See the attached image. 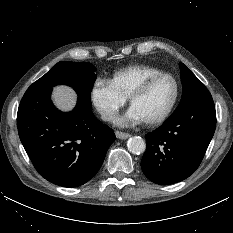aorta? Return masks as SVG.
Wrapping results in <instances>:
<instances>
[{
  "label": "aorta",
  "mask_w": 233,
  "mask_h": 233,
  "mask_svg": "<svg viewBox=\"0 0 233 233\" xmlns=\"http://www.w3.org/2000/svg\"><path fill=\"white\" fill-rule=\"evenodd\" d=\"M127 147L132 154L139 155L145 151L146 143L141 137L134 136L129 138Z\"/></svg>",
  "instance_id": "762f6f07"
}]
</instances>
